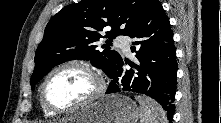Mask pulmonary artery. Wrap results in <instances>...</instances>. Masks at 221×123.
I'll list each match as a JSON object with an SVG mask.
<instances>
[{
	"mask_svg": "<svg viewBox=\"0 0 221 123\" xmlns=\"http://www.w3.org/2000/svg\"><path fill=\"white\" fill-rule=\"evenodd\" d=\"M115 44L122 49L125 53L129 54L130 53V45L127 40V38L123 36H119L115 40Z\"/></svg>",
	"mask_w": 221,
	"mask_h": 123,
	"instance_id": "obj_1",
	"label": "pulmonary artery"
}]
</instances>
